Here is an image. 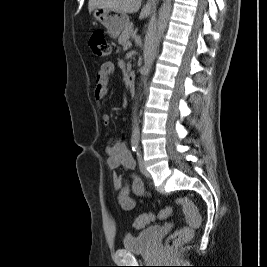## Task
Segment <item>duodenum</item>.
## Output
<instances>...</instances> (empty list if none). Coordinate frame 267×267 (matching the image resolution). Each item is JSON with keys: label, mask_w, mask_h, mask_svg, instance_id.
Instances as JSON below:
<instances>
[{"label": "duodenum", "mask_w": 267, "mask_h": 267, "mask_svg": "<svg viewBox=\"0 0 267 267\" xmlns=\"http://www.w3.org/2000/svg\"><path fill=\"white\" fill-rule=\"evenodd\" d=\"M127 86L129 92L133 95L135 93V74L134 72H130L127 77Z\"/></svg>", "instance_id": "410a0bca"}]
</instances>
